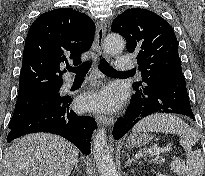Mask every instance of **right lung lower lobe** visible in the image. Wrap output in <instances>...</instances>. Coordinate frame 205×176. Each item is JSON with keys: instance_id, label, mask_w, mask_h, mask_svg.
Segmentation results:
<instances>
[{"instance_id": "right-lung-lower-lobe-1", "label": "right lung lower lobe", "mask_w": 205, "mask_h": 176, "mask_svg": "<svg viewBox=\"0 0 205 176\" xmlns=\"http://www.w3.org/2000/svg\"><path fill=\"white\" fill-rule=\"evenodd\" d=\"M70 102V97H59L43 104L10 129L7 141L29 133L49 132L66 138L84 154H90V138L97 124L92 117L76 115L69 108Z\"/></svg>"}]
</instances>
